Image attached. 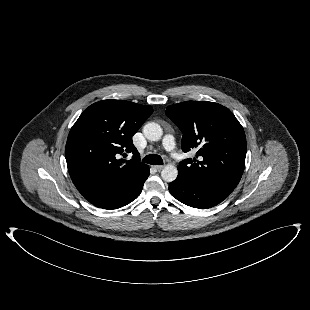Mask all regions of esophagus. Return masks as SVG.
Masks as SVG:
<instances>
[{
	"instance_id": "obj_1",
	"label": "esophagus",
	"mask_w": 310,
	"mask_h": 310,
	"mask_svg": "<svg viewBox=\"0 0 310 310\" xmlns=\"http://www.w3.org/2000/svg\"><path fill=\"white\" fill-rule=\"evenodd\" d=\"M153 167H154V169H156L157 171H161V170L164 168L163 165H155V166H153Z\"/></svg>"
}]
</instances>
